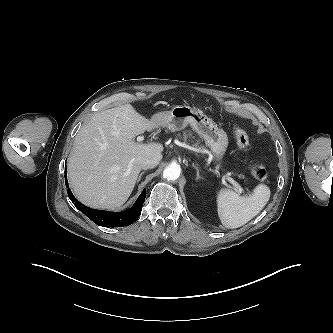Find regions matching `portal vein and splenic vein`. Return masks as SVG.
Wrapping results in <instances>:
<instances>
[{"label": "portal vein and splenic vein", "mask_w": 333, "mask_h": 333, "mask_svg": "<svg viewBox=\"0 0 333 333\" xmlns=\"http://www.w3.org/2000/svg\"><path fill=\"white\" fill-rule=\"evenodd\" d=\"M143 140V137H137V141L138 142H141ZM226 180L233 185V187L235 188V190L241 194L243 192V189L242 187L233 179L231 178L230 176H226Z\"/></svg>", "instance_id": "portal-vein-and-splenic-vein-1"}]
</instances>
